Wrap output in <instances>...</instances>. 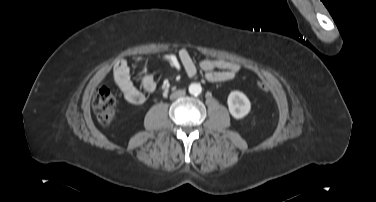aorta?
<instances>
[{
    "label": "aorta",
    "instance_id": "aorta-1",
    "mask_svg": "<svg viewBox=\"0 0 376 202\" xmlns=\"http://www.w3.org/2000/svg\"><path fill=\"white\" fill-rule=\"evenodd\" d=\"M202 92V87L199 83H192L189 86V93L191 95L197 96Z\"/></svg>",
    "mask_w": 376,
    "mask_h": 202
}]
</instances>
